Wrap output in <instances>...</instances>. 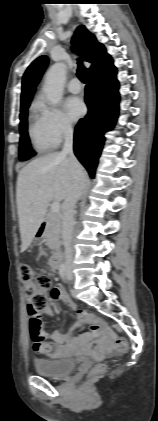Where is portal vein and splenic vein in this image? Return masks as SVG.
I'll list each match as a JSON object with an SVG mask.
<instances>
[{"label":"portal vein and splenic vein","mask_w":158,"mask_h":421,"mask_svg":"<svg viewBox=\"0 0 158 421\" xmlns=\"http://www.w3.org/2000/svg\"><path fill=\"white\" fill-rule=\"evenodd\" d=\"M59 209H60L59 202H53L52 205H51L52 212L58 213L59 212Z\"/></svg>","instance_id":"18ae733b"}]
</instances>
